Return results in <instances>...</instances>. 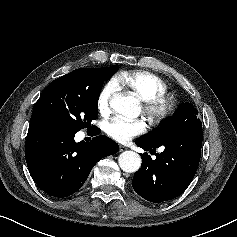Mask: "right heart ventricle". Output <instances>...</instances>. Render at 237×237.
Instances as JSON below:
<instances>
[{
  "mask_svg": "<svg viewBox=\"0 0 237 237\" xmlns=\"http://www.w3.org/2000/svg\"><path fill=\"white\" fill-rule=\"evenodd\" d=\"M120 88H126L142 101L165 94L167 85L159 76L147 71L124 72L114 80Z\"/></svg>",
  "mask_w": 237,
  "mask_h": 237,
  "instance_id": "obj_1",
  "label": "right heart ventricle"
}]
</instances>
